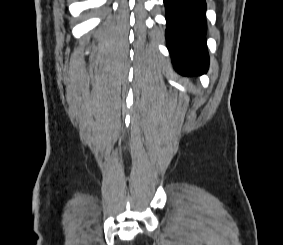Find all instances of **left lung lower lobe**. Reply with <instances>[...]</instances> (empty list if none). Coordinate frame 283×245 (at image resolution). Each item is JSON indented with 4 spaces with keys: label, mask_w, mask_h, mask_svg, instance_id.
<instances>
[{
    "label": "left lung lower lobe",
    "mask_w": 283,
    "mask_h": 245,
    "mask_svg": "<svg viewBox=\"0 0 283 245\" xmlns=\"http://www.w3.org/2000/svg\"><path fill=\"white\" fill-rule=\"evenodd\" d=\"M166 9V40L175 69L182 75L206 73L205 0H163Z\"/></svg>",
    "instance_id": "0a47b994"
}]
</instances>
